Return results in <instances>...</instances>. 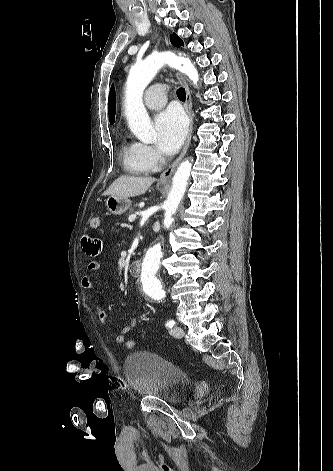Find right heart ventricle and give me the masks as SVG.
Here are the masks:
<instances>
[{
	"mask_svg": "<svg viewBox=\"0 0 333 471\" xmlns=\"http://www.w3.org/2000/svg\"><path fill=\"white\" fill-rule=\"evenodd\" d=\"M121 154L125 168L133 174H146L150 172L138 158L135 143L123 141L121 144Z\"/></svg>",
	"mask_w": 333,
	"mask_h": 471,
	"instance_id": "e07e8e85",
	"label": "right heart ventricle"
}]
</instances>
